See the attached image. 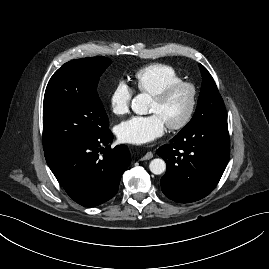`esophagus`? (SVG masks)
I'll return each instance as SVG.
<instances>
[{
	"mask_svg": "<svg viewBox=\"0 0 269 269\" xmlns=\"http://www.w3.org/2000/svg\"><path fill=\"white\" fill-rule=\"evenodd\" d=\"M153 158V153L152 152H147L141 159L142 160H149Z\"/></svg>",
	"mask_w": 269,
	"mask_h": 269,
	"instance_id": "obj_1",
	"label": "esophagus"
}]
</instances>
